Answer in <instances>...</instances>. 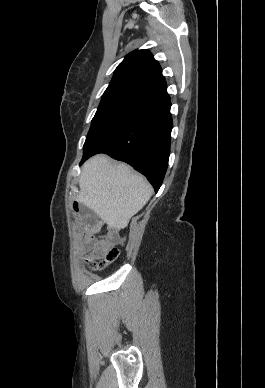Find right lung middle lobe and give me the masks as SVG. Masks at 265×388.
<instances>
[{"label": "right lung middle lobe", "mask_w": 265, "mask_h": 388, "mask_svg": "<svg viewBox=\"0 0 265 388\" xmlns=\"http://www.w3.org/2000/svg\"><path fill=\"white\" fill-rule=\"evenodd\" d=\"M148 101L129 94L104 93L84 143L83 156L121 126Z\"/></svg>", "instance_id": "dd1d6c3e"}]
</instances>
